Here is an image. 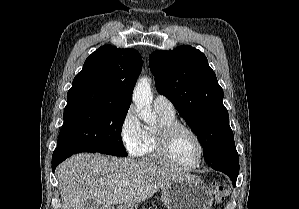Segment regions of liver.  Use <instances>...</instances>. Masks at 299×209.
Returning <instances> with one entry per match:
<instances>
[{
	"label": "liver",
	"instance_id": "1",
	"mask_svg": "<svg viewBox=\"0 0 299 209\" xmlns=\"http://www.w3.org/2000/svg\"><path fill=\"white\" fill-rule=\"evenodd\" d=\"M188 176L145 161L87 153L72 156L56 170L62 209H82L89 199L107 207L136 204ZM122 181L127 185L120 186Z\"/></svg>",
	"mask_w": 299,
	"mask_h": 209
}]
</instances>
